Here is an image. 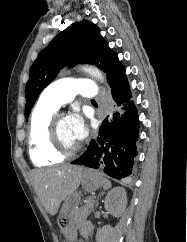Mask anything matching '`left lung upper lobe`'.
Listing matches in <instances>:
<instances>
[{
	"label": "left lung upper lobe",
	"mask_w": 187,
	"mask_h": 242,
	"mask_svg": "<svg viewBox=\"0 0 187 242\" xmlns=\"http://www.w3.org/2000/svg\"><path fill=\"white\" fill-rule=\"evenodd\" d=\"M78 63L99 67L106 73L109 85L125 74L124 66L108 47L98 27L86 20L75 22L41 51L30 68L25 87V117L30 114L39 94L55 79L58 72L65 66L72 67Z\"/></svg>",
	"instance_id": "1"
}]
</instances>
